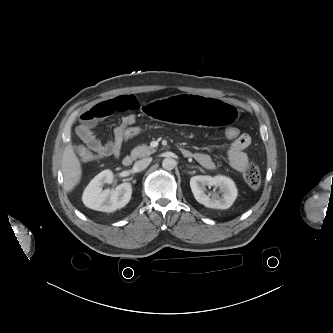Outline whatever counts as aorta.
Returning a JSON list of instances; mask_svg holds the SVG:
<instances>
[{
  "label": "aorta",
  "mask_w": 333,
  "mask_h": 333,
  "mask_svg": "<svg viewBox=\"0 0 333 333\" xmlns=\"http://www.w3.org/2000/svg\"><path fill=\"white\" fill-rule=\"evenodd\" d=\"M175 160L172 159V158H165L163 161H162V167L165 169V170H172L174 169L175 167Z\"/></svg>",
  "instance_id": "1"
}]
</instances>
